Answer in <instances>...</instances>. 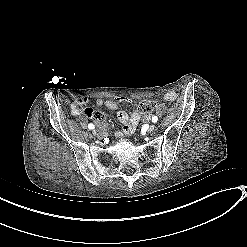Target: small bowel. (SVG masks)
<instances>
[{"mask_svg": "<svg viewBox=\"0 0 247 247\" xmlns=\"http://www.w3.org/2000/svg\"><path fill=\"white\" fill-rule=\"evenodd\" d=\"M177 98V94L175 92H169L163 96V99L165 101H174ZM131 100L124 96H118L114 99L109 100H102V99H96L95 105L98 107H105L109 110H118L119 104L122 102H130ZM89 102L88 97H81L74 101V103L71 105L70 112L73 116H87L94 118L97 122H103L105 120V114L103 112H98L95 115V112L91 109H82L80 108L81 105L87 104ZM162 109L160 108L158 110V113H161ZM95 115V116H94ZM117 119L122 125V130L117 131L115 133V136L117 139H123L126 136L132 135L139 123L142 119L143 121H150L152 115L151 114H145L141 116V114L136 110L132 112L130 115L125 112L124 110H118L117 111Z\"/></svg>", "mask_w": 247, "mask_h": 247, "instance_id": "obj_1", "label": "small bowel"}]
</instances>
